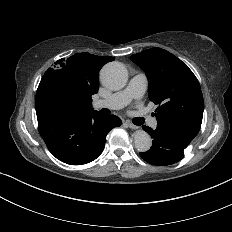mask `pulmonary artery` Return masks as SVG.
Segmentation results:
<instances>
[{
    "instance_id": "pulmonary-artery-1",
    "label": "pulmonary artery",
    "mask_w": 232,
    "mask_h": 232,
    "mask_svg": "<svg viewBox=\"0 0 232 232\" xmlns=\"http://www.w3.org/2000/svg\"><path fill=\"white\" fill-rule=\"evenodd\" d=\"M146 90V79L141 73L130 77V86L118 94H108L104 100L95 99L94 107L99 109L104 105L108 109L127 108L131 103L137 108V113L147 124L156 125L153 115L143 106L142 96Z\"/></svg>"
}]
</instances>
